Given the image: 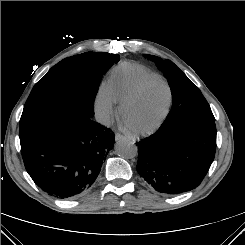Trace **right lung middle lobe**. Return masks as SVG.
Segmentation results:
<instances>
[{"instance_id": "obj_1", "label": "right lung middle lobe", "mask_w": 245, "mask_h": 245, "mask_svg": "<svg viewBox=\"0 0 245 245\" xmlns=\"http://www.w3.org/2000/svg\"><path fill=\"white\" fill-rule=\"evenodd\" d=\"M97 61L95 72L83 59ZM120 60L118 54L86 52L63 59L33 87L20 119V140L61 120L92 118L102 75Z\"/></svg>"}]
</instances>
